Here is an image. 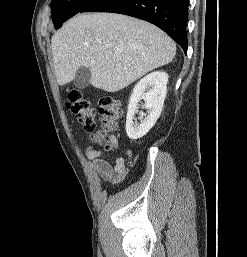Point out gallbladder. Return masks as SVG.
<instances>
[{
  "label": "gallbladder",
  "instance_id": "gallbladder-1",
  "mask_svg": "<svg viewBox=\"0 0 247 257\" xmlns=\"http://www.w3.org/2000/svg\"><path fill=\"white\" fill-rule=\"evenodd\" d=\"M91 71L89 68L80 67L75 75L73 84L79 89H84L90 84Z\"/></svg>",
  "mask_w": 247,
  "mask_h": 257
}]
</instances>
